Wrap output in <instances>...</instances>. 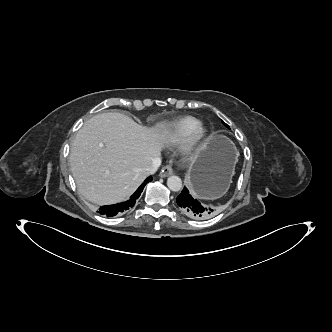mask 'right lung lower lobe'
Returning a JSON list of instances; mask_svg holds the SVG:
<instances>
[{
  "instance_id": "right-lung-lower-lobe-1",
  "label": "right lung lower lobe",
  "mask_w": 332,
  "mask_h": 332,
  "mask_svg": "<svg viewBox=\"0 0 332 332\" xmlns=\"http://www.w3.org/2000/svg\"><path fill=\"white\" fill-rule=\"evenodd\" d=\"M150 181H152L151 176H149L144 181V183L141 184V186L136 190V192L130 197V199L128 201L114 204V205L102 206L99 208V213L101 215L112 217V216L117 215L118 213H123L124 211L129 210L130 208H132L135 205L136 200L139 198V196L141 195V192L143 191V188Z\"/></svg>"
}]
</instances>
